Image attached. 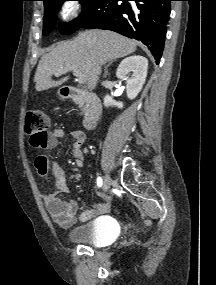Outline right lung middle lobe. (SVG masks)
Segmentation results:
<instances>
[{
  "instance_id": "obj_1",
  "label": "right lung middle lobe",
  "mask_w": 216,
  "mask_h": 285,
  "mask_svg": "<svg viewBox=\"0 0 216 285\" xmlns=\"http://www.w3.org/2000/svg\"><path fill=\"white\" fill-rule=\"evenodd\" d=\"M65 1H79L83 6L81 15L72 22L67 23L63 26V32L65 34H71L83 25V23L93 14V12L98 8L103 0H50L47 3H44V34L48 32L49 26L52 25L53 19L55 17L54 13Z\"/></svg>"
}]
</instances>
